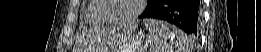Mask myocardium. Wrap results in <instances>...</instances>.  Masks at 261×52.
Masks as SVG:
<instances>
[{"mask_svg": "<svg viewBox=\"0 0 261 52\" xmlns=\"http://www.w3.org/2000/svg\"><path fill=\"white\" fill-rule=\"evenodd\" d=\"M103 7L101 9V15L104 17V19L107 20L108 23L111 24H127L134 22L139 15L142 13L144 9V0H138L136 9L128 15L126 18L123 19H112L108 17V11L111 9V2L110 0H102Z\"/></svg>", "mask_w": 261, "mask_h": 52, "instance_id": "myocardium-1", "label": "myocardium"}]
</instances>
